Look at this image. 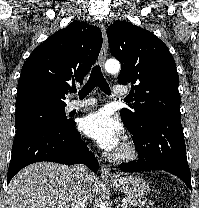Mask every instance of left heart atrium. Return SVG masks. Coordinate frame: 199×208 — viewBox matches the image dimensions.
Listing matches in <instances>:
<instances>
[{
    "label": "left heart atrium",
    "mask_w": 199,
    "mask_h": 208,
    "mask_svg": "<svg viewBox=\"0 0 199 208\" xmlns=\"http://www.w3.org/2000/svg\"><path fill=\"white\" fill-rule=\"evenodd\" d=\"M79 128L108 152H114L121 143V124L106 109H98L85 115L80 120Z\"/></svg>",
    "instance_id": "obj_1"
}]
</instances>
